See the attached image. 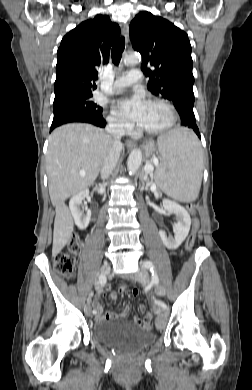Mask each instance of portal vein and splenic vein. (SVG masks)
Here are the masks:
<instances>
[{"mask_svg":"<svg viewBox=\"0 0 252 390\" xmlns=\"http://www.w3.org/2000/svg\"><path fill=\"white\" fill-rule=\"evenodd\" d=\"M151 162H152V164H154L155 166H157L158 163H159V161H158L157 158L151 159ZM152 164H147V165H145V168H144V169H145V172H146V173H150L151 171H153L154 167H153ZM153 189L156 190V186H153Z\"/></svg>","mask_w":252,"mask_h":390,"instance_id":"portal-vein-and-splenic-vein-1","label":"portal vein and splenic vein"}]
</instances>
